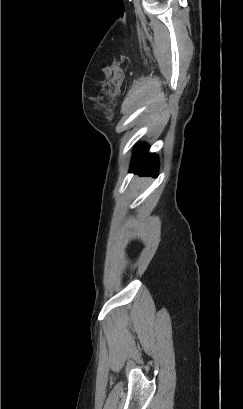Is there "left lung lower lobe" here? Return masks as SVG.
<instances>
[{"mask_svg":"<svg viewBox=\"0 0 243 409\" xmlns=\"http://www.w3.org/2000/svg\"><path fill=\"white\" fill-rule=\"evenodd\" d=\"M131 171L138 173L140 176H157L158 157L148 153V146L140 144L134 151L131 164Z\"/></svg>","mask_w":243,"mask_h":409,"instance_id":"1","label":"left lung lower lobe"}]
</instances>
